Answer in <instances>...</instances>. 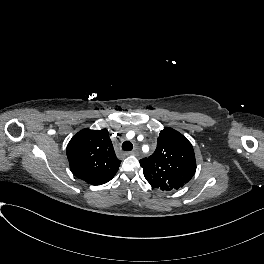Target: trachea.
Masks as SVG:
<instances>
[{"mask_svg":"<svg viewBox=\"0 0 264 264\" xmlns=\"http://www.w3.org/2000/svg\"><path fill=\"white\" fill-rule=\"evenodd\" d=\"M122 149L125 151H131L133 149V144L130 141H125L122 144Z\"/></svg>","mask_w":264,"mask_h":264,"instance_id":"3493384b","label":"trachea"}]
</instances>
